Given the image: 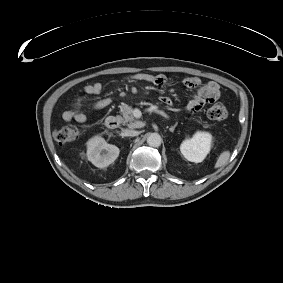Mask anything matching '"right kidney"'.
Returning a JSON list of instances; mask_svg holds the SVG:
<instances>
[{"instance_id": "ca27d5eb", "label": "right kidney", "mask_w": 283, "mask_h": 283, "mask_svg": "<svg viewBox=\"0 0 283 283\" xmlns=\"http://www.w3.org/2000/svg\"><path fill=\"white\" fill-rule=\"evenodd\" d=\"M119 148L108 144L104 138L94 136L87 142L88 160L98 168H104L112 164L119 156Z\"/></svg>"}]
</instances>
